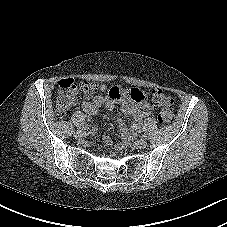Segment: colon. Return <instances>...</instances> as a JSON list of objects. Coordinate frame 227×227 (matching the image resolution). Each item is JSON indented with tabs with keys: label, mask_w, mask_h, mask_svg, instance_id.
<instances>
[{
	"label": "colon",
	"mask_w": 227,
	"mask_h": 227,
	"mask_svg": "<svg viewBox=\"0 0 227 227\" xmlns=\"http://www.w3.org/2000/svg\"><path fill=\"white\" fill-rule=\"evenodd\" d=\"M79 91L84 98L88 99L98 91V86L93 82H82L76 85L71 78L59 81L56 97V114L58 117H65L68 111L75 105ZM150 103L161 107L158 117L159 123L162 125L169 124L173 118L171 97L162 90H154L150 96Z\"/></svg>",
	"instance_id": "colon-1"
}]
</instances>
